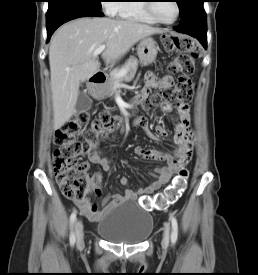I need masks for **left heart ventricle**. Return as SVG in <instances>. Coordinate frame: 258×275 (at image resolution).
I'll return each mask as SVG.
<instances>
[{
	"label": "left heart ventricle",
	"mask_w": 258,
	"mask_h": 275,
	"mask_svg": "<svg viewBox=\"0 0 258 275\" xmlns=\"http://www.w3.org/2000/svg\"><path fill=\"white\" fill-rule=\"evenodd\" d=\"M156 15L163 21H171L176 16V7L173 1H157L154 4Z\"/></svg>",
	"instance_id": "obj_1"
}]
</instances>
